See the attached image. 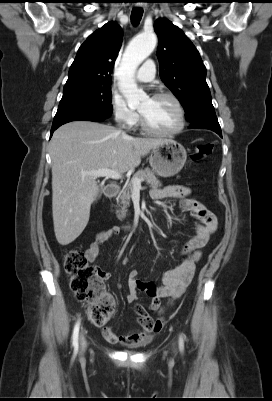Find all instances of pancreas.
I'll list each match as a JSON object with an SVG mask.
<instances>
[{
  "mask_svg": "<svg viewBox=\"0 0 272 401\" xmlns=\"http://www.w3.org/2000/svg\"><path fill=\"white\" fill-rule=\"evenodd\" d=\"M135 178L142 179V181H145L151 188H158L162 186L161 182L149 168L137 171L132 180ZM132 180L123 187L117 199L118 203L122 205L121 210L117 211V217L119 220H122L126 217L127 207L130 205L131 193L134 188Z\"/></svg>",
  "mask_w": 272,
  "mask_h": 401,
  "instance_id": "obj_1",
  "label": "pancreas"
}]
</instances>
